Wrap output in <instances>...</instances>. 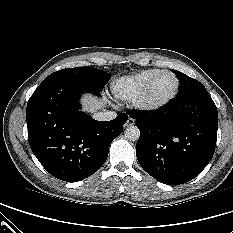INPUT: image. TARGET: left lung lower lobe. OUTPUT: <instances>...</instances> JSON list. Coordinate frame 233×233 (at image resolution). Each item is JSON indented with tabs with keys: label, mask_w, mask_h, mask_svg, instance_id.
<instances>
[{
	"label": "left lung lower lobe",
	"mask_w": 233,
	"mask_h": 233,
	"mask_svg": "<svg viewBox=\"0 0 233 233\" xmlns=\"http://www.w3.org/2000/svg\"><path fill=\"white\" fill-rule=\"evenodd\" d=\"M140 138L136 156L142 168L167 185L186 183L213 157L218 112L206 89H195L154 111L130 110Z\"/></svg>",
	"instance_id": "obj_1"
}]
</instances>
